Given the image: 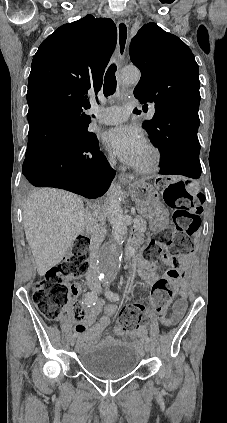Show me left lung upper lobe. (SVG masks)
<instances>
[{"mask_svg":"<svg viewBox=\"0 0 227 423\" xmlns=\"http://www.w3.org/2000/svg\"><path fill=\"white\" fill-rule=\"evenodd\" d=\"M130 58L141 71L134 96L144 107L155 105L153 119L142 125L151 140L183 123L200 122L198 64L183 41L148 23L132 39Z\"/></svg>","mask_w":227,"mask_h":423,"instance_id":"left-lung-upper-lobe-1","label":"left lung upper lobe"}]
</instances>
